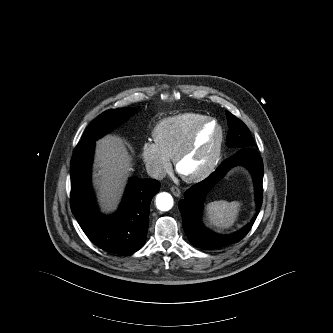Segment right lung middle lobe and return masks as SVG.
<instances>
[{
  "label": "right lung middle lobe",
  "mask_w": 333,
  "mask_h": 333,
  "mask_svg": "<svg viewBox=\"0 0 333 333\" xmlns=\"http://www.w3.org/2000/svg\"><path fill=\"white\" fill-rule=\"evenodd\" d=\"M135 112L136 109L134 108H120L105 111L89 125L81 142H94L108 133L112 128L127 120Z\"/></svg>",
  "instance_id": "dd1d6c3e"
}]
</instances>
